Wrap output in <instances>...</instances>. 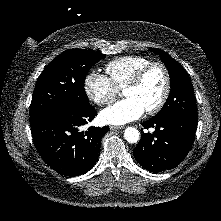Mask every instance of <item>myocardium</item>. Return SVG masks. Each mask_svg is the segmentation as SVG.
Returning a JSON list of instances; mask_svg holds the SVG:
<instances>
[{"mask_svg":"<svg viewBox=\"0 0 221 221\" xmlns=\"http://www.w3.org/2000/svg\"><path fill=\"white\" fill-rule=\"evenodd\" d=\"M153 68H159L162 70L163 75H164V89H163V92L159 101L153 107L145 110V112L150 115L159 112L163 108L170 94L171 77H170V73L166 65L163 64L162 62L148 63L147 65L142 67L140 70H138L135 73V75L132 77V79L124 87V90L137 87L142 82V80L147 75V73Z\"/></svg>","mask_w":221,"mask_h":221,"instance_id":"f54148a6","label":"myocardium"}]
</instances>
